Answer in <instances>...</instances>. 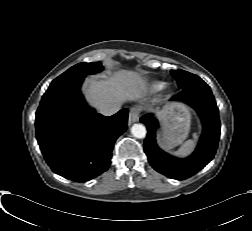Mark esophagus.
<instances>
[{
  "label": "esophagus",
  "mask_w": 252,
  "mask_h": 231,
  "mask_svg": "<svg viewBox=\"0 0 252 231\" xmlns=\"http://www.w3.org/2000/svg\"><path fill=\"white\" fill-rule=\"evenodd\" d=\"M140 109L133 108L130 110L129 118H128V125H131L139 120Z\"/></svg>",
  "instance_id": "esophagus-1"
}]
</instances>
